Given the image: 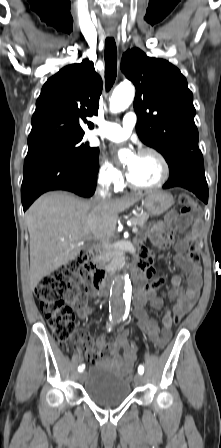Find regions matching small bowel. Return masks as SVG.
I'll list each match as a JSON object with an SVG mask.
<instances>
[{
    "instance_id": "1",
    "label": "small bowel",
    "mask_w": 221,
    "mask_h": 448,
    "mask_svg": "<svg viewBox=\"0 0 221 448\" xmlns=\"http://www.w3.org/2000/svg\"><path fill=\"white\" fill-rule=\"evenodd\" d=\"M180 222V215L175 211H170L163 221L156 222L153 225L150 237L152 244L160 251L174 245L175 263L188 275V288L186 290L181 287L182 277L180 275H175L171 279L172 288L168 290V296L174 300L175 304L172 312L169 310L164 312L162 329L148 315L146 306L150 304L156 310L162 309L163 301L157 295V289L163 284L164 280L159 279L152 283H143V280L151 278L154 262V257L145 248L143 249L145 264L141 267L142 283L137 286L134 297V314L138 319L139 327L147 334L149 341L159 348H164L171 338L174 318L172 315L178 316L180 319L183 318L192 309L202 287L200 266L191 263L185 255L190 242L196 236V231H192L174 241L175 234L180 229ZM93 295L90 289L82 294L77 287L69 293L67 301L76 310L79 318L85 319L94 313V307L88 304V297ZM120 351L122 354L119 353ZM137 352V346L128 341L127 332H122L112 342H107L105 337H101L98 347L90 349L88 356L91 361L106 362L118 373L127 375L133 368Z\"/></svg>"
}]
</instances>
